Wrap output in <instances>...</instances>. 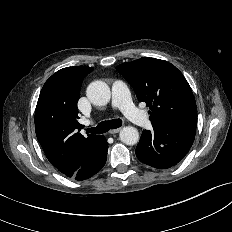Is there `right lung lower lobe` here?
Instances as JSON below:
<instances>
[{
	"label": "right lung lower lobe",
	"instance_id": "1",
	"mask_svg": "<svg viewBox=\"0 0 232 232\" xmlns=\"http://www.w3.org/2000/svg\"><path fill=\"white\" fill-rule=\"evenodd\" d=\"M108 144L104 136L89 152L81 167L71 176L76 180H85L101 170L106 163Z\"/></svg>",
	"mask_w": 232,
	"mask_h": 232
}]
</instances>
